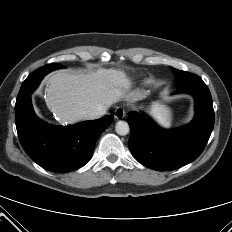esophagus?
I'll return each instance as SVG.
<instances>
[{
  "mask_svg": "<svg viewBox=\"0 0 232 232\" xmlns=\"http://www.w3.org/2000/svg\"><path fill=\"white\" fill-rule=\"evenodd\" d=\"M126 115V111L123 107L119 106L115 109L114 116L116 119L124 118Z\"/></svg>",
  "mask_w": 232,
  "mask_h": 232,
  "instance_id": "esophagus-1",
  "label": "esophagus"
}]
</instances>
